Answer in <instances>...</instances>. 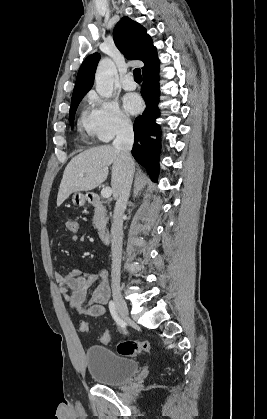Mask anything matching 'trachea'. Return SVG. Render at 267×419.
I'll use <instances>...</instances> for the list:
<instances>
[{"mask_svg": "<svg viewBox=\"0 0 267 419\" xmlns=\"http://www.w3.org/2000/svg\"><path fill=\"white\" fill-rule=\"evenodd\" d=\"M133 75H134V79L136 81H141L142 80L141 70L139 68L134 69Z\"/></svg>", "mask_w": 267, "mask_h": 419, "instance_id": "3493384b", "label": "trachea"}]
</instances>
